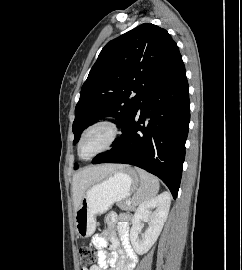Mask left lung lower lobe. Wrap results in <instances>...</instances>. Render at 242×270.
Segmentation results:
<instances>
[{"label":"left lung lower lobe","instance_id":"1","mask_svg":"<svg viewBox=\"0 0 242 270\" xmlns=\"http://www.w3.org/2000/svg\"><path fill=\"white\" fill-rule=\"evenodd\" d=\"M190 122L189 86L181 55L147 89L114 147L93 161L124 163L158 176L176 199Z\"/></svg>","mask_w":242,"mask_h":270}]
</instances>
